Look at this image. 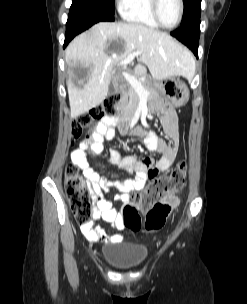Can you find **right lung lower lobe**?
<instances>
[{
  "mask_svg": "<svg viewBox=\"0 0 247 304\" xmlns=\"http://www.w3.org/2000/svg\"><path fill=\"white\" fill-rule=\"evenodd\" d=\"M100 21H114L113 16L97 12L70 11L66 24L64 48L77 34Z\"/></svg>",
  "mask_w": 247,
  "mask_h": 304,
  "instance_id": "98d812e1",
  "label": "right lung lower lobe"
}]
</instances>
